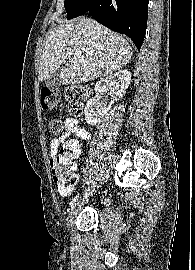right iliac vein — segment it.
Wrapping results in <instances>:
<instances>
[{
  "mask_svg": "<svg viewBox=\"0 0 195 270\" xmlns=\"http://www.w3.org/2000/svg\"><path fill=\"white\" fill-rule=\"evenodd\" d=\"M80 206V201H78L72 208L71 212L69 213L68 215V218H67V226L68 228H70L73 224V221L78 213V208Z\"/></svg>",
  "mask_w": 195,
  "mask_h": 270,
  "instance_id": "obj_1",
  "label": "right iliac vein"
}]
</instances>
